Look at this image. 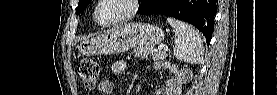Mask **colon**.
I'll list each match as a JSON object with an SVG mask.
<instances>
[{"mask_svg":"<svg viewBox=\"0 0 277 95\" xmlns=\"http://www.w3.org/2000/svg\"><path fill=\"white\" fill-rule=\"evenodd\" d=\"M77 72L87 90H93L96 86L99 65L93 59H83L77 65Z\"/></svg>","mask_w":277,"mask_h":95,"instance_id":"5ec220e1","label":"colon"}]
</instances>
